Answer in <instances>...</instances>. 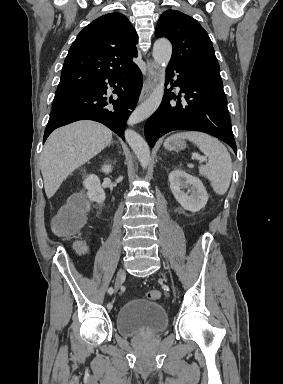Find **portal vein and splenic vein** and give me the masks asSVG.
<instances>
[{
  "instance_id": "18ae733b",
  "label": "portal vein and splenic vein",
  "mask_w": 283,
  "mask_h": 384,
  "mask_svg": "<svg viewBox=\"0 0 283 384\" xmlns=\"http://www.w3.org/2000/svg\"><path fill=\"white\" fill-rule=\"evenodd\" d=\"M192 158H195V160H205L203 156H200V154H192Z\"/></svg>"
}]
</instances>
